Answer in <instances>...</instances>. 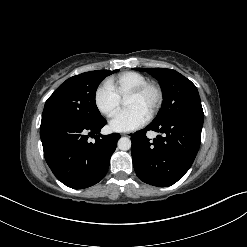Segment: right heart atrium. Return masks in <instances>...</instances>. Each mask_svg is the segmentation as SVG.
Instances as JSON below:
<instances>
[{"label": "right heart atrium", "instance_id": "obj_1", "mask_svg": "<svg viewBox=\"0 0 247 247\" xmlns=\"http://www.w3.org/2000/svg\"><path fill=\"white\" fill-rule=\"evenodd\" d=\"M94 103L97 110L106 117H113L121 103V99L109 85H100L94 94Z\"/></svg>", "mask_w": 247, "mask_h": 247}]
</instances>
